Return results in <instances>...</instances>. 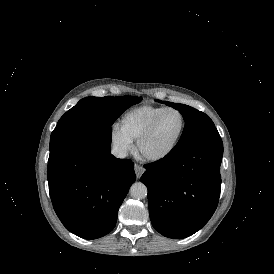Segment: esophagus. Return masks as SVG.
I'll return each mask as SVG.
<instances>
[{
  "mask_svg": "<svg viewBox=\"0 0 274 274\" xmlns=\"http://www.w3.org/2000/svg\"><path fill=\"white\" fill-rule=\"evenodd\" d=\"M134 169H135V174H136L137 178H140L141 175L145 171V169L142 166L138 165V164H135Z\"/></svg>",
  "mask_w": 274,
  "mask_h": 274,
  "instance_id": "34e87169",
  "label": "esophagus"
}]
</instances>
